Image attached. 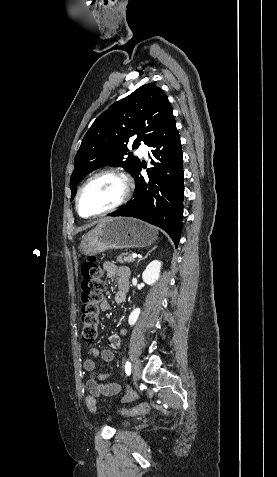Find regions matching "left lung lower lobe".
I'll use <instances>...</instances> for the list:
<instances>
[{"mask_svg":"<svg viewBox=\"0 0 277 477\" xmlns=\"http://www.w3.org/2000/svg\"><path fill=\"white\" fill-rule=\"evenodd\" d=\"M157 162L148 169V179L140 175L142 165L133 175L134 199L109 216L141 219L165 230L178 246L182 231L184 172L180 136L174 117L147 143Z\"/></svg>","mask_w":277,"mask_h":477,"instance_id":"1","label":"left lung lower lobe"}]
</instances>
